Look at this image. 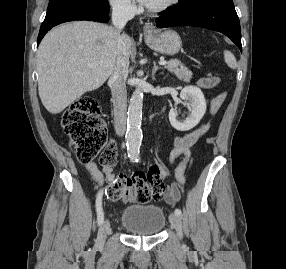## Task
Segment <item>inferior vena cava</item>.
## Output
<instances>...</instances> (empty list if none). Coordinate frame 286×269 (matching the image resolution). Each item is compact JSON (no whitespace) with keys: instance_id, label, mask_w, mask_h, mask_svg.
Returning a JSON list of instances; mask_svg holds the SVG:
<instances>
[{"instance_id":"obj_1","label":"inferior vena cava","mask_w":286,"mask_h":269,"mask_svg":"<svg viewBox=\"0 0 286 269\" xmlns=\"http://www.w3.org/2000/svg\"><path fill=\"white\" fill-rule=\"evenodd\" d=\"M135 15L134 8L128 1L112 5V23L118 35L116 61L109 84L112 91L114 107V129L118 136H123L126 131L127 121V91L126 79L128 76L129 57L126 46V36L120 35L126 23Z\"/></svg>"}]
</instances>
